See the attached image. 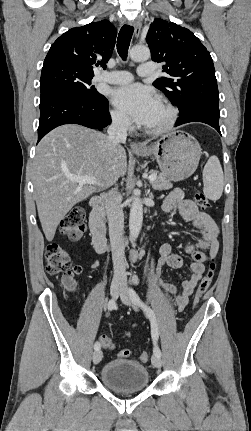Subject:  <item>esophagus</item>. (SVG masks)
<instances>
[{
	"label": "esophagus",
	"mask_w": 251,
	"mask_h": 431,
	"mask_svg": "<svg viewBox=\"0 0 251 431\" xmlns=\"http://www.w3.org/2000/svg\"><path fill=\"white\" fill-rule=\"evenodd\" d=\"M132 26L134 27V35L138 37L141 31V26H142L141 22L139 20H135L132 22ZM130 146H131V150L133 151H138L143 149V146L137 142H132Z\"/></svg>",
	"instance_id": "1"
}]
</instances>
